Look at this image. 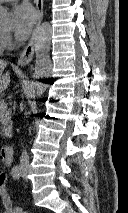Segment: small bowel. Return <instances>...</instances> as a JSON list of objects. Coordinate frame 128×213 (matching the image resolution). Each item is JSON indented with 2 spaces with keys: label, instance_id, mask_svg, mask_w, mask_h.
I'll return each instance as SVG.
<instances>
[{
  "label": "small bowel",
  "instance_id": "obj_1",
  "mask_svg": "<svg viewBox=\"0 0 128 213\" xmlns=\"http://www.w3.org/2000/svg\"><path fill=\"white\" fill-rule=\"evenodd\" d=\"M8 174L6 172L0 173V198L4 207L3 213H13V200L6 188Z\"/></svg>",
  "mask_w": 128,
  "mask_h": 213
}]
</instances>
